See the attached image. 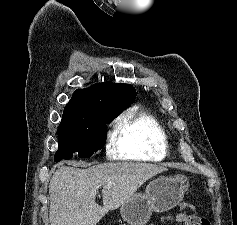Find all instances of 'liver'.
<instances>
[{
  "label": "liver",
  "instance_id": "liver-1",
  "mask_svg": "<svg viewBox=\"0 0 237 225\" xmlns=\"http://www.w3.org/2000/svg\"><path fill=\"white\" fill-rule=\"evenodd\" d=\"M167 168L146 163H104L79 169L61 166L49 183L51 225H96L122 206L150 178ZM102 187L103 205L95 202Z\"/></svg>",
  "mask_w": 237,
  "mask_h": 225
}]
</instances>
